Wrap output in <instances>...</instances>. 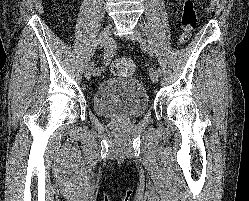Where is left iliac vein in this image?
Segmentation results:
<instances>
[{"mask_svg": "<svg viewBox=\"0 0 249 201\" xmlns=\"http://www.w3.org/2000/svg\"><path fill=\"white\" fill-rule=\"evenodd\" d=\"M132 41H140L141 40V34L139 31H135L132 35L129 37ZM160 75L155 69H152L150 71V78L154 83H157L159 80Z\"/></svg>", "mask_w": 249, "mask_h": 201, "instance_id": "obj_1", "label": "left iliac vein"}]
</instances>
